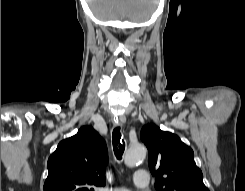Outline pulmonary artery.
Segmentation results:
<instances>
[{
    "instance_id": "obj_1",
    "label": "pulmonary artery",
    "mask_w": 245,
    "mask_h": 191,
    "mask_svg": "<svg viewBox=\"0 0 245 191\" xmlns=\"http://www.w3.org/2000/svg\"><path fill=\"white\" fill-rule=\"evenodd\" d=\"M150 176L145 169H138L133 176V183L137 188H146L149 185ZM104 191H130L126 188L106 189Z\"/></svg>"
}]
</instances>
